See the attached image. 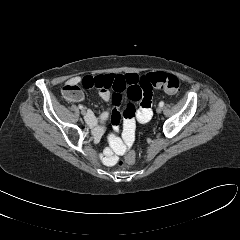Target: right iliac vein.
<instances>
[{
	"label": "right iliac vein",
	"mask_w": 240,
	"mask_h": 240,
	"mask_svg": "<svg viewBox=\"0 0 240 240\" xmlns=\"http://www.w3.org/2000/svg\"><path fill=\"white\" fill-rule=\"evenodd\" d=\"M81 114H82V115H85V114H86V109H85V108H82V109H81Z\"/></svg>",
	"instance_id": "right-iliac-vein-1"
}]
</instances>
